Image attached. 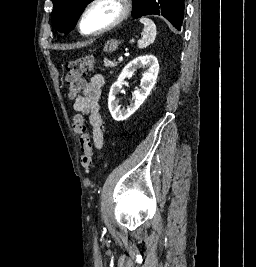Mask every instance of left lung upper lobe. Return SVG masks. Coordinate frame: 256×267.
I'll return each instance as SVG.
<instances>
[{"instance_id":"1","label":"left lung upper lobe","mask_w":256,"mask_h":267,"mask_svg":"<svg viewBox=\"0 0 256 267\" xmlns=\"http://www.w3.org/2000/svg\"><path fill=\"white\" fill-rule=\"evenodd\" d=\"M93 0H52V23L55 29L67 34L76 25L81 13ZM134 17L156 14L164 16L172 25L175 21V0H133Z\"/></svg>"}]
</instances>
